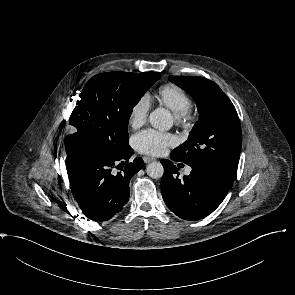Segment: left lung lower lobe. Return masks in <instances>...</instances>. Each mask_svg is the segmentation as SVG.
I'll use <instances>...</instances> for the list:
<instances>
[{
  "instance_id": "left-lung-lower-lobe-1",
  "label": "left lung lower lobe",
  "mask_w": 295,
  "mask_h": 295,
  "mask_svg": "<svg viewBox=\"0 0 295 295\" xmlns=\"http://www.w3.org/2000/svg\"><path fill=\"white\" fill-rule=\"evenodd\" d=\"M170 158L179 161L172 153ZM161 163L164 167L163 199L167 207L182 219L195 221L208 216L232 187L207 168L192 167L190 175L180 179L178 168L170 160L162 159Z\"/></svg>"
}]
</instances>
